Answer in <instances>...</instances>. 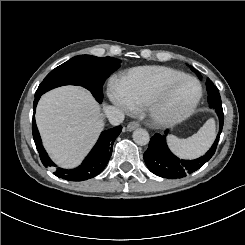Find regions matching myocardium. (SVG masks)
Instances as JSON below:
<instances>
[{
    "instance_id": "f54148a6",
    "label": "myocardium",
    "mask_w": 245,
    "mask_h": 245,
    "mask_svg": "<svg viewBox=\"0 0 245 245\" xmlns=\"http://www.w3.org/2000/svg\"><path fill=\"white\" fill-rule=\"evenodd\" d=\"M192 81L195 83L197 87V95L194 99V101L186 108L174 112L164 107L161 101V94L164 90L174 86L177 83L183 82V81ZM202 97V86L200 82L191 76H182L172 79H164L160 80L153 88L149 91V93L146 96L144 105L146 106L147 112L149 116L158 124H168L174 121H178L181 119H184L188 115H190L193 110L198 105L200 99Z\"/></svg>"
}]
</instances>
